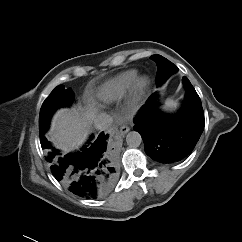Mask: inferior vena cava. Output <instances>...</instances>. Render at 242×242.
Returning a JSON list of instances; mask_svg holds the SVG:
<instances>
[{
  "mask_svg": "<svg viewBox=\"0 0 242 242\" xmlns=\"http://www.w3.org/2000/svg\"><path fill=\"white\" fill-rule=\"evenodd\" d=\"M112 123L113 118L107 113H100L94 119V127L101 131L108 129Z\"/></svg>",
  "mask_w": 242,
  "mask_h": 242,
  "instance_id": "1",
  "label": "inferior vena cava"
}]
</instances>
